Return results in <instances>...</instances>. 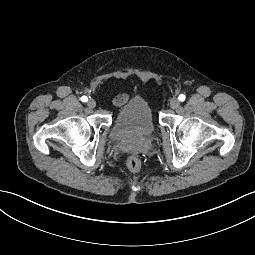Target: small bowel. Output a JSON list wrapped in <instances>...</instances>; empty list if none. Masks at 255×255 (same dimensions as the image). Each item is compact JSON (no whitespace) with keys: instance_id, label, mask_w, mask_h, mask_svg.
<instances>
[{"instance_id":"small-bowel-1","label":"small bowel","mask_w":255,"mask_h":255,"mask_svg":"<svg viewBox=\"0 0 255 255\" xmlns=\"http://www.w3.org/2000/svg\"><path fill=\"white\" fill-rule=\"evenodd\" d=\"M127 99V96L121 95L115 100V104L118 106L122 104Z\"/></svg>"}]
</instances>
